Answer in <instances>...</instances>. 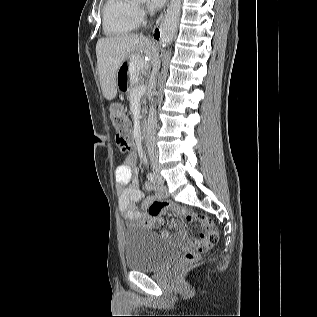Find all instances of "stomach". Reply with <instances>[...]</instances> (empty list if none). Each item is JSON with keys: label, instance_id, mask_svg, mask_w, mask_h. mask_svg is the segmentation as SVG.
I'll return each instance as SVG.
<instances>
[{"label": "stomach", "instance_id": "0dacf381", "mask_svg": "<svg viewBox=\"0 0 317 317\" xmlns=\"http://www.w3.org/2000/svg\"><path fill=\"white\" fill-rule=\"evenodd\" d=\"M145 65L146 60L143 59V55H126V59H122V63H120V70L116 71V93L128 94L129 87L134 82L141 81L138 75L142 73Z\"/></svg>", "mask_w": 317, "mask_h": 317}]
</instances>
